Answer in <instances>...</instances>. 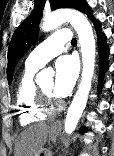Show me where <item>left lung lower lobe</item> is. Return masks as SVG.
<instances>
[{
	"label": "left lung lower lobe",
	"instance_id": "left-lung-lower-lobe-1",
	"mask_svg": "<svg viewBox=\"0 0 114 156\" xmlns=\"http://www.w3.org/2000/svg\"><path fill=\"white\" fill-rule=\"evenodd\" d=\"M88 17L93 21L95 25V29L97 32V38H98V51H99V64H100V79L104 76V73L108 69V55H109V48L106 44V38L103 33H101V27H100V22L97 19H93V14L91 8L86 12ZM101 88V85L100 87ZM86 128L83 127L80 132H85Z\"/></svg>",
	"mask_w": 114,
	"mask_h": 156
}]
</instances>
